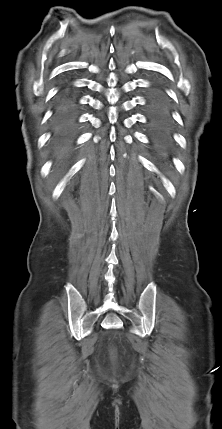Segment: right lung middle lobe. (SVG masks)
I'll use <instances>...</instances> for the list:
<instances>
[{
    "label": "right lung middle lobe",
    "mask_w": 222,
    "mask_h": 429,
    "mask_svg": "<svg viewBox=\"0 0 222 429\" xmlns=\"http://www.w3.org/2000/svg\"><path fill=\"white\" fill-rule=\"evenodd\" d=\"M54 128H55L56 135H57V138H58V139H62V138H64L66 135H68V133H67V132H65L63 129H60V128L56 127V126H54Z\"/></svg>",
    "instance_id": "dd1d6c3e"
}]
</instances>
